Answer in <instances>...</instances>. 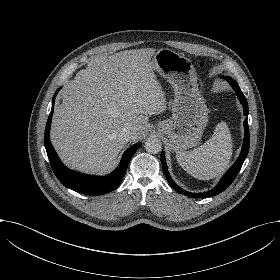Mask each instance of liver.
<instances>
[{"label":"liver","instance_id":"1","mask_svg":"<svg viewBox=\"0 0 280 280\" xmlns=\"http://www.w3.org/2000/svg\"><path fill=\"white\" fill-rule=\"evenodd\" d=\"M154 48L120 51L93 58L63 91L54 109L50 139L70 170L104 175L116 165L129 129L133 142L146 131L149 115L166 108L164 93L153 72Z\"/></svg>","mask_w":280,"mask_h":280}]
</instances>
